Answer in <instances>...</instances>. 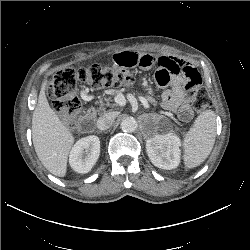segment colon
<instances>
[{"instance_id": "1", "label": "colon", "mask_w": 250, "mask_h": 250, "mask_svg": "<svg viewBox=\"0 0 250 250\" xmlns=\"http://www.w3.org/2000/svg\"><path fill=\"white\" fill-rule=\"evenodd\" d=\"M77 81L95 89L130 87L135 82L134 78L125 71L99 65L59 70L48 87V96L69 127L75 125L77 116L82 110V103L76 94ZM192 105L197 112H202L211 106V98L205 88H199L195 92Z\"/></svg>"}]
</instances>
